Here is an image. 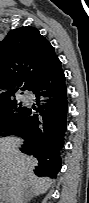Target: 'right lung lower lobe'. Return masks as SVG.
<instances>
[{
    "label": "right lung lower lobe",
    "mask_w": 89,
    "mask_h": 203,
    "mask_svg": "<svg viewBox=\"0 0 89 203\" xmlns=\"http://www.w3.org/2000/svg\"><path fill=\"white\" fill-rule=\"evenodd\" d=\"M38 108H27L11 135L26 142L21 151L38 159L35 174L54 178L61 169L60 150L67 127V88L60 66L41 76L29 89Z\"/></svg>",
    "instance_id": "right-lung-lower-lobe-1"
}]
</instances>
